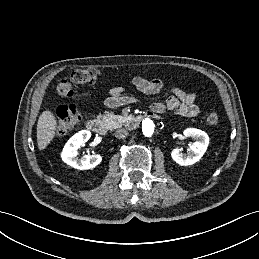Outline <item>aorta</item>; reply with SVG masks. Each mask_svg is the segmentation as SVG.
I'll list each match as a JSON object with an SVG mask.
<instances>
[{
  "label": "aorta",
  "instance_id": "762f6f07",
  "mask_svg": "<svg viewBox=\"0 0 259 259\" xmlns=\"http://www.w3.org/2000/svg\"><path fill=\"white\" fill-rule=\"evenodd\" d=\"M155 129V124L150 118H145L142 121V132L146 137L153 135Z\"/></svg>",
  "mask_w": 259,
  "mask_h": 259
}]
</instances>
